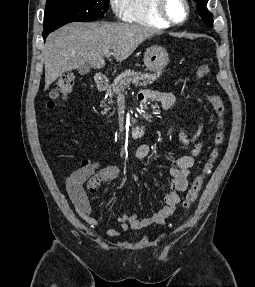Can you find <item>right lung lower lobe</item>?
I'll return each mask as SVG.
<instances>
[{"mask_svg": "<svg viewBox=\"0 0 255 287\" xmlns=\"http://www.w3.org/2000/svg\"><path fill=\"white\" fill-rule=\"evenodd\" d=\"M50 33H51V32L43 33L44 40L46 39V37H47Z\"/></svg>", "mask_w": 255, "mask_h": 287, "instance_id": "obj_1", "label": "right lung lower lobe"}]
</instances>
